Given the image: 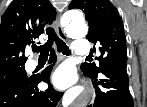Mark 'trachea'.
I'll use <instances>...</instances> for the list:
<instances>
[{
	"instance_id": "1",
	"label": "trachea",
	"mask_w": 147,
	"mask_h": 107,
	"mask_svg": "<svg viewBox=\"0 0 147 107\" xmlns=\"http://www.w3.org/2000/svg\"><path fill=\"white\" fill-rule=\"evenodd\" d=\"M47 35H48V40L44 45H41L39 47L33 46L32 50L36 51L39 50L40 52V57H48L49 51L52 48L53 43L55 42L57 45L58 51H61L62 54L68 56L71 55V52L69 50V47L66 45V43L61 40L54 32V29L51 27L47 28ZM90 56H87L86 58H89Z\"/></svg>"
}]
</instances>
